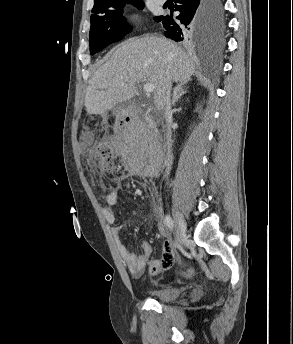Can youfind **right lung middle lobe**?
I'll return each mask as SVG.
<instances>
[{"mask_svg":"<svg viewBox=\"0 0 293 344\" xmlns=\"http://www.w3.org/2000/svg\"><path fill=\"white\" fill-rule=\"evenodd\" d=\"M132 3L138 9H142L144 4L140 0H122L113 4L92 10L91 29L89 33L90 53L101 51L113 42L123 39L127 32L125 19L122 16L123 7L126 3ZM217 22L221 25L223 14L220 0H217ZM157 18V17H155Z\"/></svg>","mask_w":293,"mask_h":344,"instance_id":"1","label":"right lung middle lobe"}]
</instances>
